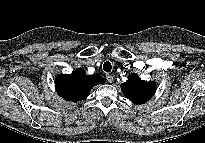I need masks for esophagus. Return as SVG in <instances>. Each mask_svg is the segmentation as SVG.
I'll return each mask as SVG.
<instances>
[{"label": "esophagus", "mask_w": 205, "mask_h": 143, "mask_svg": "<svg viewBox=\"0 0 205 143\" xmlns=\"http://www.w3.org/2000/svg\"><path fill=\"white\" fill-rule=\"evenodd\" d=\"M106 79H107V81H108L109 83H112L113 80H114L113 76L110 75V74H108V75L106 76Z\"/></svg>", "instance_id": "34e87169"}]
</instances>
